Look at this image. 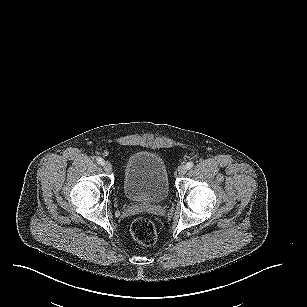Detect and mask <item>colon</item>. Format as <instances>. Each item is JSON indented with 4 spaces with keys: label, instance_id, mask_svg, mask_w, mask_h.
Instances as JSON below:
<instances>
[{
    "label": "colon",
    "instance_id": "1",
    "mask_svg": "<svg viewBox=\"0 0 307 307\" xmlns=\"http://www.w3.org/2000/svg\"><path fill=\"white\" fill-rule=\"evenodd\" d=\"M132 237L140 244L151 246L157 240L154 223L146 218H138L131 225Z\"/></svg>",
    "mask_w": 307,
    "mask_h": 307
}]
</instances>
